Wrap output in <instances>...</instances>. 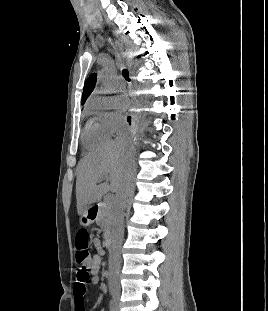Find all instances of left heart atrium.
<instances>
[{
	"mask_svg": "<svg viewBox=\"0 0 268 311\" xmlns=\"http://www.w3.org/2000/svg\"><path fill=\"white\" fill-rule=\"evenodd\" d=\"M115 104L117 107L121 108V109H125L128 108L130 105V102L128 99L124 98V97H119L115 99Z\"/></svg>",
	"mask_w": 268,
	"mask_h": 311,
	"instance_id": "1",
	"label": "left heart atrium"
}]
</instances>
